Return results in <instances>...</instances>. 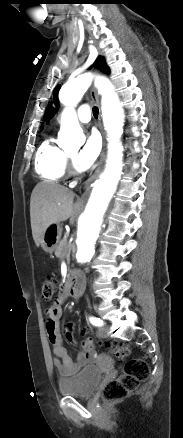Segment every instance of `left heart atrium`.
Returning a JSON list of instances; mask_svg holds the SVG:
<instances>
[{
	"mask_svg": "<svg viewBox=\"0 0 183 438\" xmlns=\"http://www.w3.org/2000/svg\"><path fill=\"white\" fill-rule=\"evenodd\" d=\"M101 151V141L96 133H91L78 154L75 163L81 170L88 169L98 158Z\"/></svg>",
	"mask_w": 183,
	"mask_h": 438,
	"instance_id": "1",
	"label": "left heart atrium"
}]
</instances>
